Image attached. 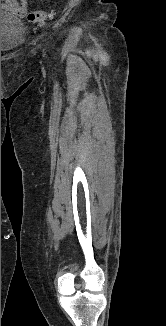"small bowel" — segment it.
<instances>
[{
    "mask_svg": "<svg viewBox=\"0 0 166 326\" xmlns=\"http://www.w3.org/2000/svg\"><path fill=\"white\" fill-rule=\"evenodd\" d=\"M1 8L16 17H24L27 12V0H1Z\"/></svg>",
    "mask_w": 166,
    "mask_h": 326,
    "instance_id": "obj_1",
    "label": "small bowel"
}]
</instances>
